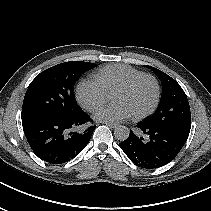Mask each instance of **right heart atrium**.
<instances>
[{
  "instance_id": "d8ad5b80",
  "label": "right heart atrium",
  "mask_w": 211,
  "mask_h": 211,
  "mask_svg": "<svg viewBox=\"0 0 211 211\" xmlns=\"http://www.w3.org/2000/svg\"><path fill=\"white\" fill-rule=\"evenodd\" d=\"M80 104L88 111H94L108 98V92L100 81L96 78H86L82 80L76 90Z\"/></svg>"
}]
</instances>
